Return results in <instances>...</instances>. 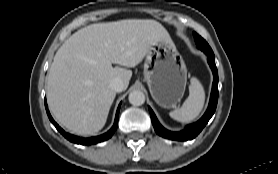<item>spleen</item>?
<instances>
[{"mask_svg":"<svg viewBox=\"0 0 278 174\" xmlns=\"http://www.w3.org/2000/svg\"><path fill=\"white\" fill-rule=\"evenodd\" d=\"M205 102V91L200 81L192 77L189 85V96L181 108L169 113L170 117L182 123L194 120L202 111Z\"/></svg>","mask_w":278,"mask_h":174,"instance_id":"obj_1","label":"spleen"}]
</instances>
